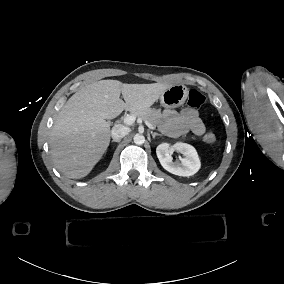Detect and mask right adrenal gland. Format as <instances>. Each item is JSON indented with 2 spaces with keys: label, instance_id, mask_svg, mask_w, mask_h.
<instances>
[{
  "label": "right adrenal gland",
  "instance_id": "right-adrenal-gland-1",
  "mask_svg": "<svg viewBox=\"0 0 284 284\" xmlns=\"http://www.w3.org/2000/svg\"><path fill=\"white\" fill-rule=\"evenodd\" d=\"M111 142H120V140H112Z\"/></svg>",
  "mask_w": 284,
  "mask_h": 284
}]
</instances>
